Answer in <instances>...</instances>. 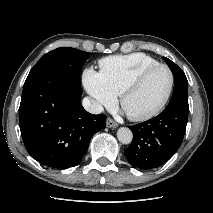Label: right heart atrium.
Instances as JSON below:
<instances>
[{
	"label": "right heart atrium",
	"mask_w": 213,
	"mask_h": 213,
	"mask_svg": "<svg viewBox=\"0 0 213 213\" xmlns=\"http://www.w3.org/2000/svg\"><path fill=\"white\" fill-rule=\"evenodd\" d=\"M83 84L89 95L92 97L96 108L112 106L116 100L109 88L106 86L100 72L88 68L83 74Z\"/></svg>",
	"instance_id": "obj_1"
}]
</instances>
